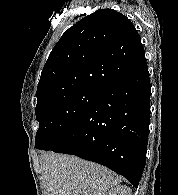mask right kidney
Here are the masks:
<instances>
[{
    "label": "right kidney",
    "mask_w": 178,
    "mask_h": 195,
    "mask_svg": "<svg viewBox=\"0 0 178 195\" xmlns=\"http://www.w3.org/2000/svg\"><path fill=\"white\" fill-rule=\"evenodd\" d=\"M105 195H132L131 189L127 186L117 185L110 190Z\"/></svg>",
    "instance_id": "ca27d5eb"
}]
</instances>
